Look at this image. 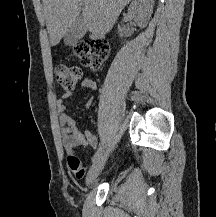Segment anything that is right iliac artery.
I'll return each mask as SVG.
<instances>
[{
    "instance_id": "82829eb1",
    "label": "right iliac artery",
    "mask_w": 216,
    "mask_h": 217,
    "mask_svg": "<svg viewBox=\"0 0 216 217\" xmlns=\"http://www.w3.org/2000/svg\"><path fill=\"white\" fill-rule=\"evenodd\" d=\"M102 152H103V146H100L98 148V150L95 152V154H94V156L92 158V162H95L100 157V155L102 154Z\"/></svg>"
}]
</instances>
